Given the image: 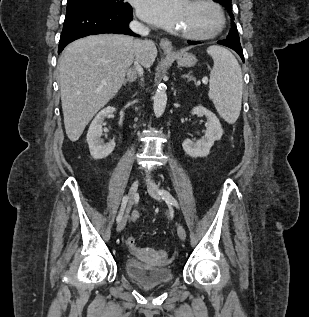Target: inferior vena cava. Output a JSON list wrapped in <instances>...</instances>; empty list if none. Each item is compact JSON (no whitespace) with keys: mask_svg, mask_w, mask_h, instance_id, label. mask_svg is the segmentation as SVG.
Instances as JSON below:
<instances>
[{"mask_svg":"<svg viewBox=\"0 0 309 317\" xmlns=\"http://www.w3.org/2000/svg\"><path fill=\"white\" fill-rule=\"evenodd\" d=\"M129 26H130L132 31H134L135 33H138L140 35H148L150 32V30L147 27H144L138 21H132ZM142 46H143L142 40H135L134 41V52H135V62H134L135 69L134 70L140 76H143V69L141 67L142 64L140 61V54L142 52Z\"/></svg>","mask_w":309,"mask_h":317,"instance_id":"602c4592","label":"inferior vena cava"}]
</instances>
